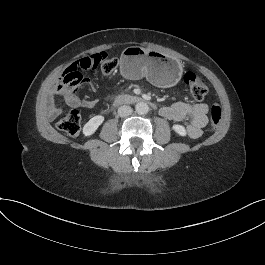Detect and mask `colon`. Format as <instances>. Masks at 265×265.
Wrapping results in <instances>:
<instances>
[{
  "mask_svg": "<svg viewBox=\"0 0 265 265\" xmlns=\"http://www.w3.org/2000/svg\"><path fill=\"white\" fill-rule=\"evenodd\" d=\"M100 66L103 75L108 76L114 73L117 68V60L108 58L105 52L95 53L88 57H84L70 67L62 74L59 85L63 88L72 89L78 87L82 82L83 70L96 68ZM184 82L189 87L192 96L196 100L203 99L208 93L206 81L195 74L187 72L184 75ZM221 108L213 105L211 108V130L214 131L221 121ZM57 127L69 136H77L81 130V114L78 110H71L66 116L57 122Z\"/></svg>",
  "mask_w": 265,
  "mask_h": 265,
  "instance_id": "1",
  "label": "colon"
}]
</instances>
